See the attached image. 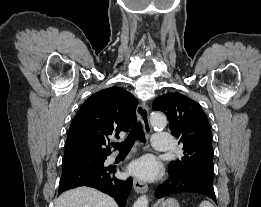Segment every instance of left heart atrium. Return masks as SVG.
<instances>
[{"instance_id":"obj_1","label":"left heart atrium","mask_w":261,"mask_h":207,"mask_svg":"<svg viewBox=\"0 0 261 207\" xmlns=\"http://www.w3.org/2000/svg\"><path fill=\"white\" fill-rule=\"evenodd\" d=\"M128 171L140 179L152 180L158 176L160 167L154 157L146 155L132 162Z\"/></svg>"}]
</instances>
